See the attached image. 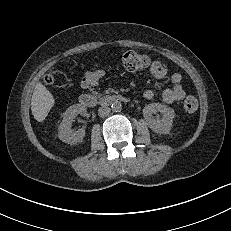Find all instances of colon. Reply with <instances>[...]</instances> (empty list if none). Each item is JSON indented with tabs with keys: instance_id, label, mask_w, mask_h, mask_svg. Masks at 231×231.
Here are the masks:
<instances>
[{
	"instance_id": "colon-1",
	"label": "colon",
	"mask_w": 231,
	"mask_h": 231,
	"mask_svg": "<svg viewBox=\"0 0 231 231\" xmlns=\"http://www.w3.org/2000/svg\"><path fill=\"white\" fill-rule=\"evenodd\" d=\"M123 67L130 72H140L146 69L150 64L148 56L135 52L127 51L121 57ZM56 81V73H50L45 77L46 84H53ZM184 109L189 112H195L198 108V101L193 96H188L183 103Z\"/></svg>"
}]
</instances>
